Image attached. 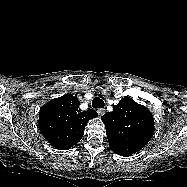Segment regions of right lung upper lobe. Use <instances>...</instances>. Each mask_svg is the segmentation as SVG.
I'll use <instances>...</instances> for the list:
<instances>
[{"label":"right lung upper lobe","instance_id":"obj_1","mask_svg":"<svg viewBox=\"0 0 187 187\" xmlns=\"http://www.w3.org/2000/svg\"><path fill=\"white\" fill-rule=\"evenodd\" d=\"M79 100L71 94L54 98L41 107L39 128L57 149L67 150L80 141L88 121L98 116L93 109L81 112Z\"/></svg>","mask_w":187,"mask_h":187}]
</instances>
